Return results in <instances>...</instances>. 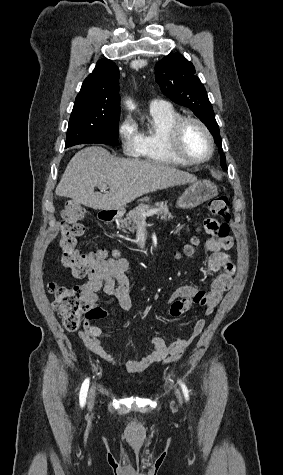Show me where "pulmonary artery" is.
Masks as SVG:
<instances>
[{
    "instance_id": "1",
    "label": "pulmonary artery",
    "mask_w": 283,
    "mask_h": 475,
    "mask_svg": "<svg viewBox=\"0 0 283 475\" xmlns=\"http://www.w3.org/2000/svg\"><path fill=\"white\" fill-rule=\"evenodd\" d=\"M168 104L169 103L166 102V101L159 100V99H153V100L150 101L149 107L150 108H156V107H160V106H166Z\"/></svg>"
}]
</instances>
